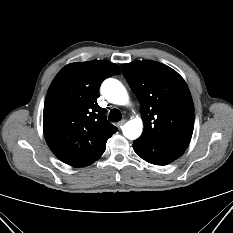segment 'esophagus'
Returning <instances> with one entry per match:
<instances>
[{
  "label": "esophagus",
  "mask_w": 233,
  "mask_h": 233,
  "mask_svg": "<svg viewBox=\"0 0 233 233\" xmlns=\"http://www.w3.org/2000/svg\"><path fill=\"white\" fill-rule=\"evenodd\" d=\"M126 123V120H121L120 122L117 123V126L121 128L124 124Z\"/></svg>",
  "instance_id": "1"
}]
</instances>
